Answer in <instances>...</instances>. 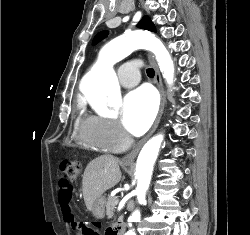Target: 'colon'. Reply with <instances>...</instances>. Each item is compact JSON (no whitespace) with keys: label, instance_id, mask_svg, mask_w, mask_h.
Wrapping results in <instances>:
<instances>
[{"label":"colon","instance_id":"1","mask_svg":"<svg viewBox=\"0 0 250 235\" xmlns=\"http://www.w3.org/2000/svg\"><path fill=\"white\" fill-rule=\"evenodd\" d=\"M59 171V190L71 191L72 183L81 173V164L76 160L65 159L60 163ZM65 221L69 222L75 229L79 230L81 235H95L89 229L79 225L70 213L65 215Z\"/></svg>","mask_w":250,"mask_h":235}]
</instances>
